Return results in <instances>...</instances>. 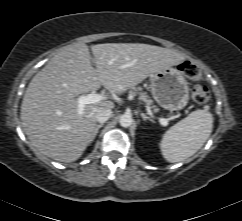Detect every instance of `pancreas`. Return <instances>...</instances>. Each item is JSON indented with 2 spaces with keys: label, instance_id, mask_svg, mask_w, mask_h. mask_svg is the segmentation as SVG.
Instances as JSON below:
<instances>
[{
  "label": "pancreas",
  "instance_id": "obj_1",
  "mask_svg": "<svg viewBox=\"0 0 242 221\" xmlns=\"http://www.w3.org/2000/svg\"><path fill=\"white\" fill-rule=\"evenodd\" d=\"M129 93L131 95H139V99L144 101L147 105H151L152 104V100L150 99V97L145 93L141 91V88H136L133 87Z\"/></svg>",
  "mask_w": 242,
  "mask_h": 221
}]
</instances>
